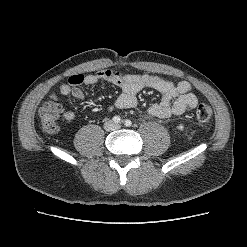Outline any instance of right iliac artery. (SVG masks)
Returning <instances> with one entry per match:
<instances>
[{
	"mask_svg": "<svg viewBox=\"0 0 247 247\" xmlns=\"http://www.w3.org/2000/svg\"><path fill=\"white\" fill-rule=\"evenodd\" d=\"M115 123H120L121 122V118L120 116H114L113 119H112Z\"/></svg>",
	"mask_w": 247,
	"mask_h": 247,
	"instance_id": "right-iliac-artery-1",
	"label": "right iliac artery"
}]
</instances>
